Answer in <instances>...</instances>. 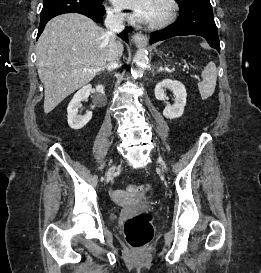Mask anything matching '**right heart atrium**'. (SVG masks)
Instances as JSON below:
<instances>
[{"mask_svg":"<svg viewBox=\"0 0 261 273\" xmlns=\"http://www.w3.org/2000/svg\"><path fill=\"white\" fill-rule=\"evenodd\" d=\"M108 15L111 19H114V20L122 19V14L117 9H114V8L108 9Z\"/></svg>","mask_w":261,"mask_h":273,"instance_id":"obj_1","label":"right heart atrium"}]
</instances>
